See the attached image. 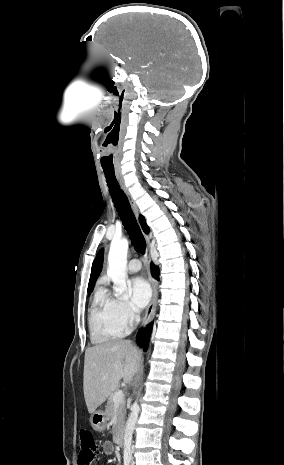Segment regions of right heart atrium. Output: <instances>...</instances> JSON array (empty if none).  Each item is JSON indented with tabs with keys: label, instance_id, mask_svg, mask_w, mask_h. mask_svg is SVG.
Returning <instances> with one entry per match:
<instances>
[{
	"label": "right heart atrium",
	"instance_id": "1",
	"mask_svg": "<svg viewBox=\"0 0 284 465\" xmlns=\"http://www.w3.org/2000/svg\"><path fill=\"white\" fill-rule=\"evenodd\" d=\"M112 305L119 324L124 328L133 327L139 320V316L127 304L115 299H108Z\"/></svg>",
	"mask_w": 284,
	"mask_h": 465
}]
</instances>
